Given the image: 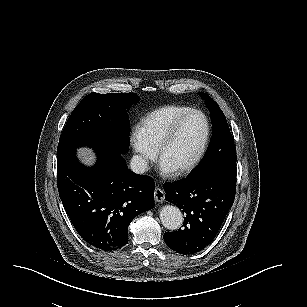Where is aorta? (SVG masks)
<instances>
[{"instance_id": "1", "label": "aorta", "mask_w": 307, "mask_h": 307, "mask_svg": "<svg viewBox=\"0 0 307 307\" xmlns=\"http://www.w3.org/2000/svg\"><path fill=\"white\" fill-rule=\"evenodd\" d=\"M159 217L163 226L167 229L176 230L183 223V215L177 206L165 204L160 208Z\"/></svg>"}]
</instances>
